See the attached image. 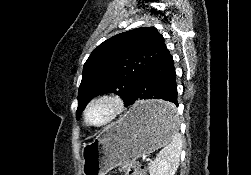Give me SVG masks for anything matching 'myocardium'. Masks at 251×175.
Returning <instances> with one entry per match:
<instances>
[{
    "label": "myocardium",
    "instance_id": "obj_1",
    "mask_svg": "<svg viewBox=\"0 0 251 175\" xmlns=\"http://www.w3.org/2000/svg\"><path fill=\"white\" fill-rule=\"evenodd\" d=\"M100 100H108V101L113 102L117 107V113L113 117V119L111 121H109L108 123H106L104 125H94L89 120V110L94 102L100 101ZM127 112H128L127 101H126L125 97L120 92L105 91V92H101V93L95 95L94 97H92L88 101V103L85 106L83 116H84L85 124L89 128L99 130V129L109 128V127L115 125L116 123L120 122L126 116Z\"/></svg>",
    "mask_w": 251,
    "mask_h": 175
}]
</instances>
